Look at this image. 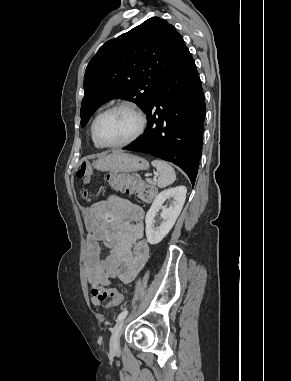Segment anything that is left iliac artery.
I'll use <instances>...</instances> for the list:
<instances>
[{
    "label": "left iliac artery",
    "instance_id": "1",
    "mask_svg": "<svg viewBox=\"0 0 291 381\" xmlns=\"http://www.w3.org/2000/svg\"><path fill=\"white\" fill-rule=\"evenodd\" d=\"M128 314V311L127 310H124L122 311L118 317H117V322H120L122 319H124L126 317V315Z\"/></svg>",
    "mask_w": 291,
    "mask_h": 381
}]
</instances>
